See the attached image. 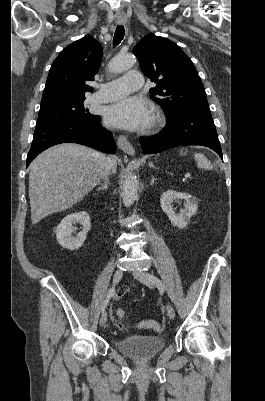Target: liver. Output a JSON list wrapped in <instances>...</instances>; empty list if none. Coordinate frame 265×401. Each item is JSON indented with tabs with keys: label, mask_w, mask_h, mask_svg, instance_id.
<instances>
[{
	"label": "liver",
	"mask_w": 265,
	"mask_h": 401,
	"mask_svg": "<svg viewBox=\"0 0 265 401\" xmlns=\"http://www.w3.org/2000/svg\"><path fill=\"white\" fill-rule=\"evenodd\" d=\"M112 160V172H116L115 156ZM105 166V154L71 142L56 144L38 154L29 166L32 225L82 201L98 184Z\"/></svg>",
	"instance_id": "obj_1"
}]
</instances>
